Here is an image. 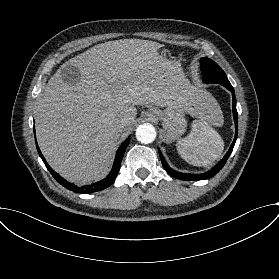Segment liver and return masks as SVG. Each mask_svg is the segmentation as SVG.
Wrapping results in <instances>:
<instances>
[{"label":"liver","mask_w":279,"mask_h":279,"mask_svg":"<svg viewBox=\"0 0 279 279\" xmlns=\"http://www.w3.org/2000/svg\"><path fill=\"white\" fill-rule=\"evenodd\" d=\"M163 47L148 40L109 41L67 62L80 69L75 85L62 79V68L53 75L38 98L35 125L54 170L80 184L103 178L116 145L135 122V106H181L201 117V91L184 78L178 61L161 52ZM124 119L130 125L117 132Z\"/></svg>","instance_id":"obj_1"}]
</instances>
